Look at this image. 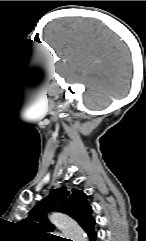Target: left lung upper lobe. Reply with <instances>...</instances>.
<instances>
[{"instance_id": "5c2ea615", "label": "left lung upper lobe", "mask_w": 146, "mask_h": 241, "mask_svg": "<svg viewBox=\"0 0 146 241\" xmlns=\"http://www.w3.org/2000/svg\"><path fill=\"white\" fill-rule=\"evenodd\" d=\"M58 211L68 214L83 228L94 220L92 208L88 204L86 194L80 190H67L65 187L55 189L40 201L29 213V216L21 221L22 227L38 235L47 241H58L61 238L52 235L55 227L47 219V213Z\"/></svg>"}]
</instances>
